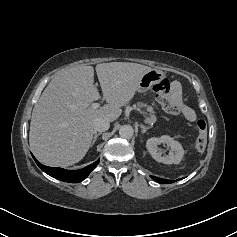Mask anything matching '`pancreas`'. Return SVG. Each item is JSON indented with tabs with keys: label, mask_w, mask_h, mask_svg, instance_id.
I'll return each instance as SVG.
<instances>
[{
	"label": "pancreas",
	"mask_w": 237,
	"mask_h": 237,
	"mask_svg": "<svg viewBox=\"0 0 237 237\" xmlns=\"http://www.w3.org/2000/svg\"><path fill=\"white\" fill-rule=\"evenodd\" d=\"M137 106L140 109H145L144 113H145L146 121L148 123H155L156 122L157 118H156L155 112L151 106H149L143 102H138Z\"/></svg>",
	"instance_id": "cf45deb5"
}]
</instances>
